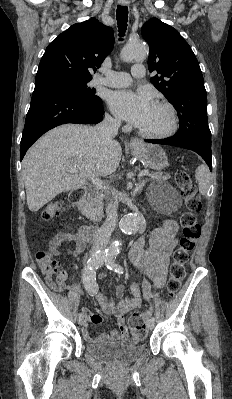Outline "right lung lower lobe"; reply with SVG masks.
Returning <instances> with one entry per match:
<instances>
[{"label":"right lung lower lobe","mask_w":232,"mask_h":399,"mask_svg":"<svg viewBox=\"0 0 232 399\" xmlns=\"http://www.w3.org/2000/svg\"><path fill=\"white\" fill-rule=\"evenodd\" d=\"M102 100L83 101L72 90L53 82L35 83L21 139L20 160L45 132L65 123L91 124L103 120Z\"/></svg>","instance_id":"obj_1"}]
</instances>
